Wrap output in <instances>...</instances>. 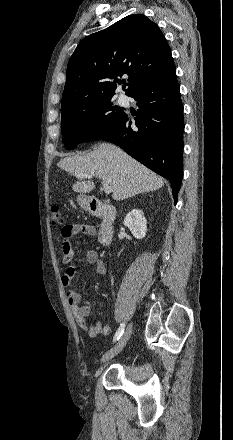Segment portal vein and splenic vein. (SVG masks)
Here are the masks:
<instances>
[{"instance_id":"18ae733b","label":"portal vein and splenic vein","mask_w":233,"mask_h":440,"mask_svg":"<svg viewBox=\"0 0 233 440\" xmlns=\"http://www.w3.org/2000/svg\"><path fill=\"white\" fill-rule=\"evenodd\" d=\"M79 176L82 178H88V179H91L93 177L92 175H89V174H80ZM102 187H103L102 190L106 194H110L113 191L112 187L104 180L102 181Z\"/></svg>"}]
</instances>
